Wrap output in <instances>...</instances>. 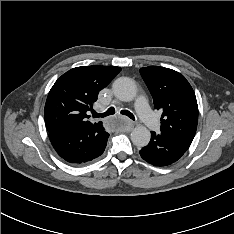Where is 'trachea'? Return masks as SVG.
Returning a JSON list of instances; mask_svg holds the SVG:
<instances>
[{"label": "trachea", "mask_w": 234, "mask_h": 234, "mask_svg": "<svg viewBox=\"0 0 234 234\" xmlns=\"http://www.w3.org/2000/svg\"><path fill=\"white\" fill-rule=\"evenodd\" d=\"M113 114H115V109H114L113 107H110V108H109L106 112H104V113L98 114V113L94 112V113H93V116L96 117V118H104V117H107V116L113 115ZM121 114H123V115L129 117V118L132 119V120H135L134 115H133L130 111H128V110H122V111H121Z\"/></svg>", "instance_id": "1"}]
</instances>
